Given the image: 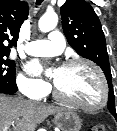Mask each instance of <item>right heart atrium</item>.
I'll list each match as a JSON object with an SVG mask.
<instances>
[{
	"instance_id": "1",
	"label": "right heart atrium",
	"mask_w": 117,
	"mask_h": 131,
	"mask_svg": "<svg viewBox=\"0 0 117 131\" xmlns=\"http://www.w3.org/2000/svg\"><path fill=\"white\" fill-rule=\"evenodd\" d=\"M16 82L21 93L35 100L44 98L50 90V86L46 82L22 73L17 76Z\"/></svg>"
}]
</instances>
